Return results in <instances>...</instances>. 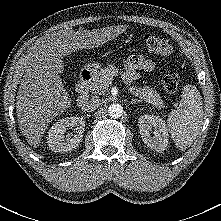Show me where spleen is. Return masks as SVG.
Wrapping results in <instances>:
<instances>
[{
	"label": "spleen",
	"mask_w": 221,
	"mask_h": 221,
	"mask_svg": "<svg viewBox=\"0 0 221 221\" xmlns=\"http://www.w3.org/2000/svg\"><path fill=\"white\" fill-rule=\"evenodd\" d=\"M203 101L198 89L184 86L179 107L168 115L167 125L176 146L184 151L193 144L201 128Z\"/></svg>",
	"instance_id": "spleen-1"
}]
</instances>
